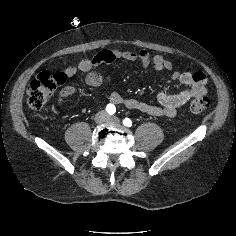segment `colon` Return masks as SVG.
I'll return each mask as SVG.
<instances>
[{
  "mask_svg": "<svg viewBox=\"0 0 236 236\" xmlns=\"http://www.w3.org/2000/svg\"><path fill=\"white\" fill-rule=\"evenodd\" d=\"M67 80L63 72L51 73L44 71L38 74L27 88V102L31 109H42L53 91ZM209 106V99L205 96L196 97L190 104V110L193 113H202Z\"/></svg>",
  "mask_w": 236,
  "mask_h": 236,
  "instance_id": "1",
  "label": "colon"
}]
</instances>
